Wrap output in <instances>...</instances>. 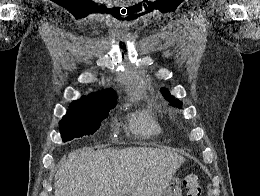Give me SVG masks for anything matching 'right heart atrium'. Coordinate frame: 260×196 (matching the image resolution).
Returning <instances> with one entry per match:
<instances>
[{"label": "right heart atrium", "instance_id": "1", "mask_svg": "<svg viewBox=\"0 0 260 196\" xmlns=\"http://www.w3.org/2000/svg\"><path fill=\"white\" fill-rule=\"evenodd\" d=\"M129 192H153V190H129Z\"/></svg>", "mask_w": 260, "mask_h": 196}]
</instances>
